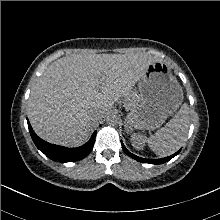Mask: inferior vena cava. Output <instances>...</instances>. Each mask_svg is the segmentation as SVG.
Instances as JSON below:
<instances>
[{
    "label": "inferior vena cava",
    "instance_id": "1",
    "mask_svg": "<svg viewBox=\"0 0 220 220\" xmlns=\"http://www.w3.org/2000/svg\"><path fill=\"white\" fill-rule=\"evenodd\" d=\"M103 117V112L100 110H95L91 112V119L93 121H98Z\"/></svg>",
    "mask_w": 220,
    "mask_h": 220
}]
</instances>
